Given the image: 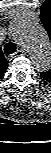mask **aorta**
<instances>
[{
	"instance_id": "1",
	"label": "aorta",
	"mask_w": 51,
	"mask_h": 153,
	"mask_svg": "<svg viewBox=\"0 0 51 153\" xmlns=\"http://www.w3.org/2000/svg\"><path fill=\"white\" fill-rule=\"evenodd\" d=\"M10 33L30 53L35 69L46 72L51 68V44L42 25L20 17L11 22Z\"/></svg>"
}]
</instances>
